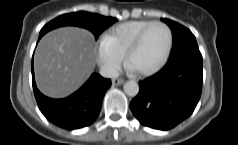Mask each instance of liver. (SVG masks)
<instances>
[{
  "instance_id": "1",
  "label": "liver",
  "mask_w": 238,
  "mask_h": 145,
  "mask_svg": "<svg viewBox=\"0 0 238 145\" xmlns=\"http://www.w3.org/2000/svg\"><path fill=\"white\" fill-rule=\"evenodd\" d=\"M93 35L81 28L63 27L39 42L34 70L37 87L51 98H64L76 91L95 68Z\"/></svg>"
}]
</instances>
